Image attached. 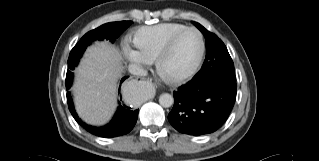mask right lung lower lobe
Segmentation results:
<instances>
[{"label":"right lung lower lobe","mask_w":319,"mask_h":161,"mask_svg":"<svg viewBox=\"0 0 319 161\" xmlns=\"http://www.w3.org/2000/svg\"><path fill=\"white\" fill-rule=\"evenodd\" d=\"M125 79L126 77H124L120 83H122ZM71 84L66 83L67 90L70 88ZM121 100L122 99L120 97V101ZM67 103L72 116L78 122L79 125H81L84 129H86L91 134H94L96 136H101V137H107V138L121 136V135H125L129 133L136 124L138 112H139V109L132 110L131 107H128L125 104H121L119 102L117 112L114 115L113 119L105 126L94 127L84 123L78 117L73 106L70 92H67Z\"/></svg>","instance_id":"1"}]
</instances>
